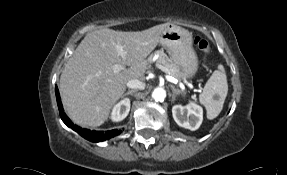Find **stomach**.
<instances>
[{
	"label": "stomach",
	"instance_id": "stomach-1",
	"mask_svg": "<svg viewBox=\"0 0 287 175\" xmlns=\"http://www.w3.org/2000/svg\"><path fill=\"white\" fill-rule=\"evenodd\" d=\"M160 44L167 49L179 68L178 79H188L198 70V57L193 49L192 34L179 26L166 27L160 36Z\"/></svg>",
	"mask_w": 287,
	"mask_h": 175
}]
</instances>
